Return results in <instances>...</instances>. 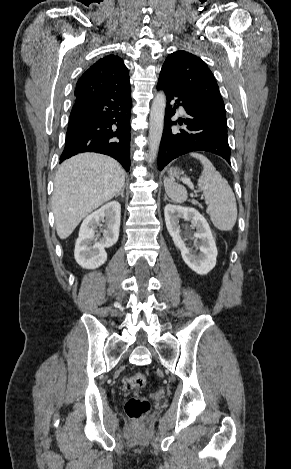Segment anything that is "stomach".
Returning a JSON list of instances; mask_svg holds the SVG:
<instances>
[{"mask_svg": "<svg viewBox=\"0 0 291 469\" xmlns=\"http://www.w3.org/2000/svg\"><path fill=\"white\" fill-rule=\"evenodd\" d=\"M180 174H181L180 169L177 167H172L168 170V176L171 179L179 178Z\"/></svg>", "mask_w": 291, "mask_h": 469, "instance_id": "obj_1", "label": "stomach"}]
</instances>
